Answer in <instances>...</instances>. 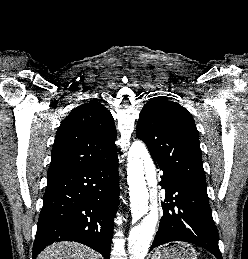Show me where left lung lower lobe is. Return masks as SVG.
<instances>
[{
    "instance_id": "0a47b994",
    "label": "left lung lower lobe",
    "mask_w": 248,
    "mask_h": 259,
    "mask_svg": "<svg viewBox=\"0 0 248 259\" xmlns=\"http://www.w3.org/2000/svg\"><path fill=\"white\" fill-rule=\"evenodd\" d=\"M156 167L163 171L159 184L166 191L167 203L162 204L163 216L150 251L167 242L184 241L222 259L207 191L190 187L164 167L158 164Z\"/></svg>"
}]
</instances>
